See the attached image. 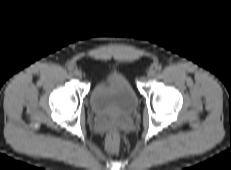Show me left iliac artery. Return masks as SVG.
Here are the masks:
<instances>
[{
  "instance_id": "left-iliac-artery-1",
  "label": "left iliac artery",
  "mask_w": 231,
  "mask_h": 170,
  "mask_svg": "<svg viewBox=\"0 0 231 170\" xmlns=\"http://www.w3.org/2000/svg\"><path fill=\"white\" fill-rule=\"evenodd\" d=\"M155 68H156V70L160 71L162 69V66L161 65H156Z\"/></svg>"
}]
</instances>
